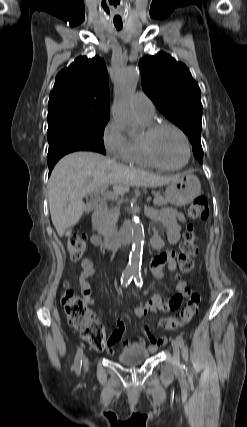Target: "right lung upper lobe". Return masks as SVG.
Wrapping results in <instances>:
<instances>
[{
	"instance_id": "1",
	"label": "right lung upper lobe",
	"mask_w": 247,
	"mask_h": 427,
	"mask_svg": "<svg viewBox=\"0 0 247 427\" xmlns=\"http://www.w3.org/2000/svg\"><path fill=\"white\" fill-rule=\"evenodd\" d=\"M69 108L110 111L108 73L100 57H78L56 76L48 114Z\"/></svg>"
}]
</instances>
